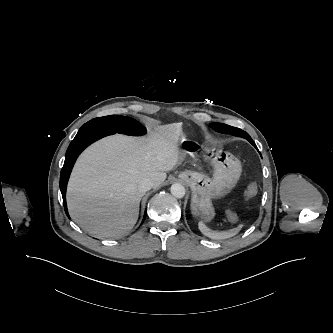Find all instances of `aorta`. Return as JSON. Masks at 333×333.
Masks as SVG:
<instances>
[{"instance_id": "aorta-1", "label": "aorta", "mask_w": 333, "mask_h": 333, "mask_svg": "<svg viewBox=\"0 0 333 333\" xmlns=\"http://www.w3.org/2000/svg\"><path fill=\"white\" fill-rule=\"evenodd\" d=\"M171 194L176 198H183L185 196V188L182 184L175 183L171 186Z\"/></svg>"}]
</instances>
